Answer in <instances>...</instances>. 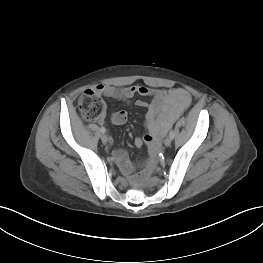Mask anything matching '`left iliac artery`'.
Returning <instances> with one entry per match:
<instances>
[{
  "label": "left iliac artery",
  "instance_id": "1",
  "mask_svg": "<svg viewBox=\"0 0 263 263\" xmlns=\"http://www.w3.org/2000/svg\"><path fill=\"white\" fill-rule=\"evenodd\" d=\"M169 136L173 139L174 138V131H170Z\"/></svg>",
  "mask_w": 263,
  "mask_h": 263
}]
</instances>
